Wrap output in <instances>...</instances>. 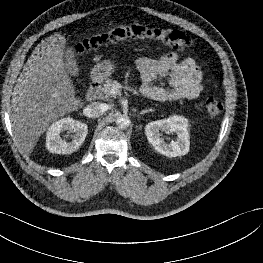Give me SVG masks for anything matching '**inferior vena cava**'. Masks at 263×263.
<instances>
[{
	"label": "inferior vena cava",
	"instance_id": "inferior-vena-cava-1",
	"mask_svg": "<svg viewBox=\"0 0 263 263\" xmlns=\"http://www.w3.org/2000/svg\"><path fill=\"white\" fill-rule=\"evenodd\" d=\"M107 110V106L104 103L92 102L85 108V115L87 117L96 118L101 116Z\"/></svg>",
	"mask_w": 263,
	"mask_h": 263
}]
</instances>
